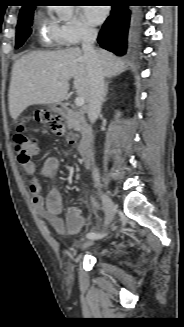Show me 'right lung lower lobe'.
Wrapping results in <instances>:
<instances>
[{
	"instance_id": "obj_1",
	"label": "right lung lower lobe",
	"mask_w": 184,
	"mask_h": 327,
	"mask_svg": "<svg viewBox=\"0 0 184 327\" xmlns=\"http://www.w3.org/2000/svg\"><path fill=\"white\" fill-rule=\"evenodd\" d=\"M130 14L129 6H112L110 16L103 24L97 38L102 48L118 56H122L126 53ZM134 21L136 22V19ZM135 32L136 25L133 26V33Z\"/></svg>"
}]
</instances>
